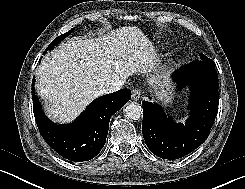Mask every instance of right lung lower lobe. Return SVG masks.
<instances>
[{
  "mask_svg": "<svg viewBox=\"0 0 245 189\" xmlns=\"http://www.w3.org/2000/svg\"><path fill=\"white\" fill-rule=\"evenodd\" d=\"M32 81L33 111L39 131L47 144L62 157L75 162L94 158L104 147L113 114L131 98L129 89H121L95 99L72 123L57 125L43 113Z\"/></svg>",
  "mask_w": 245,
  "mask_h": 189,
  "instance_id": "right-lung-lower-lobe-1",
  "label": "right lung lower lobe"
}]
</instances>
